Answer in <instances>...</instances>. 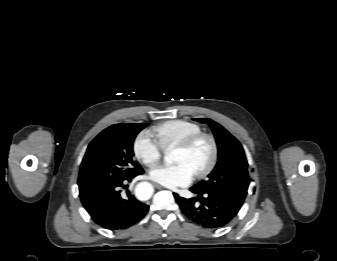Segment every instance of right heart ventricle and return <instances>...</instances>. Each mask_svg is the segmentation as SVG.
I'll return each instance as SVG.
<instances>
[{
	"label": "right heart ventricle",
	"instance_id": "right-heart-ventricle-1",
	"mask_svg": "<svg viewBox=\"0 0 337 261\" xmlns=\"http://www.w3.org/2000/svg\"><path fill=\"white\" fill-rule=\"evenodd\" d=\"M158 141L165 150L175 148L189 137L202 132V128L186 120H170L153 128Z\"/></svg>",
	"mask_w": 337,
	"mask_h": 261
}]
</instances>
